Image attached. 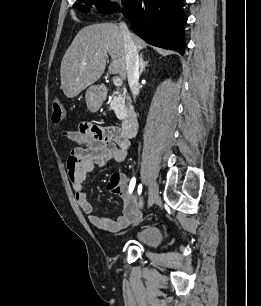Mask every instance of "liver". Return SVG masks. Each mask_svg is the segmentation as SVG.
<instances>
[{
	"mask_svg": "<svg viewBox=\"0 0 261 306\" xmlns=\"http://www.w3.org/2000/svg\"><path fill=\"white\" fill-rule=\"evenodd\" d=\"M131 36L137 50L146 48L142 39ZM107 54L111 57L108 73L125 79L126 55L120 28L113 23H99L78 32L61 61V88L66 97H76L102 76Z\"/></svg>",
	"mask_w": 261,
	"mask_h": 306,
	"instance_id": "liver-1",
	"label": "liver"
}]
</instances>
